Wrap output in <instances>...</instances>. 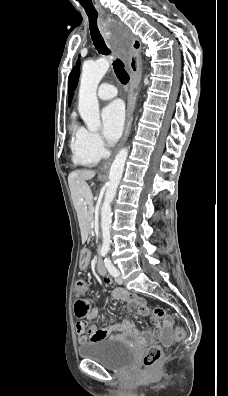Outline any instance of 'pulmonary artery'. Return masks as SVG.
Returning <instances> with one entry per match:
<instances>
[{
    "label": "pulmonary artery",
    "mask_w": 228,
    "mask_h": 396,
    "mask_svg": "<svg viewBox=\"0 0 228 396\" xmlns=\"http://www.w3.org/2000/svg\"><path fill=\"white\" fill-rule=\"evenodd\" d=\"M97 95L101 100H109L117 95V89L111 84L102 83L98 88Z\"/></svg>",
    "instance_id": "e3ab8cb5"
}]
</instances>
